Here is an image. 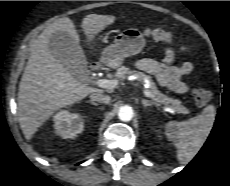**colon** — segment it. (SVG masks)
<instances>
[{
    "instance_id": "colon-1",
    "label": "colon",
    "mask_w": 230,
    "mask_h": 186,
    "mask_svg": "<svg viewBox=\"0 0 230 186\" xmlns=\"http://www.w3.org/2000/svg\"><path fill=\"white\" fill-rule=\"evenodd\" d=\"M146 35L158 42L169 43L173 40V33L165 28L156 27L146 30ZM193 96L198 105H206L211 99V92L204 87H197Z\"/></svg>"
}]
</instances>
